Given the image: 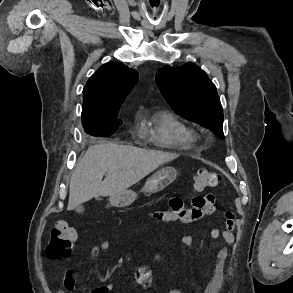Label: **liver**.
Wrapping results in <instances>:
<instances>
[{
	"mask_svg": "<svg viewBox=\"0 0 293 293\" xmlns=\"http://www.w3.org/2000/svg\"><path fill=\"white\" fill-rule=\"evenodd\" d=\"M178 156L112 142L91 146L72 174L67 209H74L93 197L122 193Z\"/></svg>",
	"mask_w": 293,
	"mask_h": 293,
	"instance_id": "liver-1",
	"label": "liver"
}]
</instances>
